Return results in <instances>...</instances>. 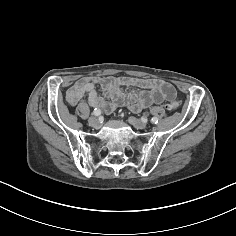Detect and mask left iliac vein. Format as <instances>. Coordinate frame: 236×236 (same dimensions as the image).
I'll list each match as a JSON object with an SVG mask.
<instances>
[{"mask_svg": "<svg viewBox=\"0 0 236 236\" xmlns=\"http://www.w3.org/2000/svg\"><path fill=\"white\" fill-rule=\"evenodd\" d=\"M128 122L137 129H144L146 124L135 117H129Z\"/></svg>", "mask_w": 236, "mask_h": 236, "instance_id": "4c4485c4", "label": "left iliac vein"}]
</instances>
